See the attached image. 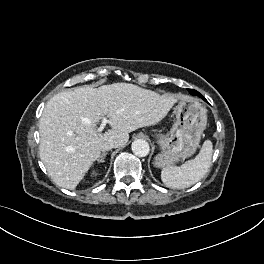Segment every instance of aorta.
Returning a JSON list of instances; mask_svg holds the SVG:
<instances>
[{
    "mask_svg": "<svg viewBox=\"0 0 264 264\" xmlns=\"http://www.w3.org/2000/svg\"><path fill=\"white\" fill-rule=\"evenodd\" d=\"M132 151L139 157H145L149 154L150 146L147 141L143 139H137L132 143Z\"/></svg>",
    "mask_w": 264,
    "mask_h": 264,
    "instance_id": "1",
    "label": "aorta"
}]
</instances>
